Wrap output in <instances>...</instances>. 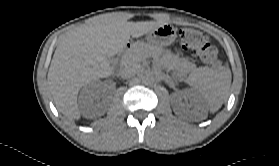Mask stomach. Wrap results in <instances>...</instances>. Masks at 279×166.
I'll return each instance as SVG.
<instances>
[{"mask_svg": "<svg viewBox=\"0 0 279 166\" xmlns=\"http://www.w3.org/2000/svg\"><path fill=\"white\" fill-rule=\"evenodd\" d=\"M176 31L171 24H163L147 34L149 42L156 46H169L176 39Z\"/></svg>", "mask_w": 279, "mask_h": 166, "instance_id": "obj_1", "label": "stomach"}]
</instances>
